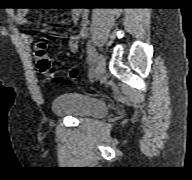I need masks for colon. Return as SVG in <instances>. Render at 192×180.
Segmentation results:
<instances>
[{
    "label": "colon",
    "mask_w": 192,
    "mask_h": 180,
    "mask_svg": "<svg viewBox=\"0 0 192 180\" xmlns=\"http://www.w3.org/2000/svg\"><path fill=\"white\" fill-rule=\"evenodd\" d=\"M34 55L36 58V66L37 69L48 76L49 79H53L52 63L46 53V42L44 40L38 41L34 45ZM77 75L76 70L71 71V77H75Z\"/></svg>",
    "instance_id": "colon-1"
}]
</instances>
